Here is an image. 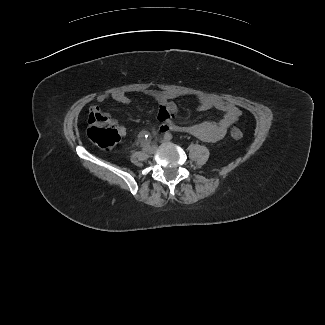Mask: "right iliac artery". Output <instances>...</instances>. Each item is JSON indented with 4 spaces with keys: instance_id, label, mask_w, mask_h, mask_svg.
<instances>
[{
    "instance_id": "1",
    "label": "right iliac artery",
    "mask_w": 325,
    "mask_h": 325,
    "mask_svg": "<svg viewBox=\"0 0 325 325\" xmlns=\"http://www.w3.org/2000/svg\"><path fill=\"white\" fill-rule=\"evenodd\" d=\"M149 147H150V144L147 142V143H145V144L143 145V150H144V151H147Z\"/></svg>"
}]
</instances>
